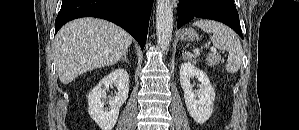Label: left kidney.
I'll use <instances>...</instances> for the list:
<instances>
[{
    "label": "left kidney",
    "mask_w": 299,
    "mask_h": 130,
    "mask_svg": "<svg viewBox=\"0 0 299 130\" xmlns=\"http://www.w3.org/2000/svg\"><path fill=\"white\" fill-rule=\"evenodd\" d=\"M193 77L198 78L201 83L196 93L190 83ZM180 83L189 114L197 123L206 122L212 115L215 100V92L207 74L191 62H184L180 66Z\"/></svg>",
    "instance_id": "5707ae66"
}]
</instances>
